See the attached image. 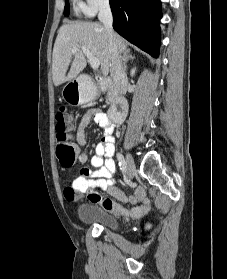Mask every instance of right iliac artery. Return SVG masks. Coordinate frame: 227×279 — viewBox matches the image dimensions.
Listing matches in <instances>:
<instances>
[{"label": "right iliac artery", "mask_w": 227, "mask_h": 279, "mask_svg": "<svg viewBox=\"0 0 227 279\" xmlns=\"http://www.w3.org/2000/svg\"><path fill=\"white\" fill-rule=\"evenodd\" d=\"M117 159L119 161L120 169L122 170L123 173H125L126 172V163H125V159H124L123 155L120 153H117Z\"/></svg>", "instance_id": "right-iliac-artery-1"}]
</instances>
